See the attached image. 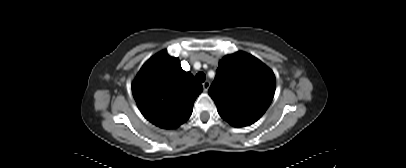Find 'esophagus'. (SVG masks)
<instances>
[{
  "label": "esophagus",
  "instance_id": "1",
  "mask_svg": "<svg viewBox=\"0 0 406 168\" xmlns=\"http://www.w3.org/2000/svg\"><path fill=\"white\" fill-rule=\"evenodd\" d=\"M202 86H203L204 91L207 92L208 89H209V86H210V82H209V81H205V82L202 84Z\"/></svg>",
  "mask_w": 406,
  "mask_h": 168
}]
</instances>
